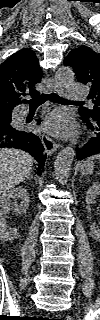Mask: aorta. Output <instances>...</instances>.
<instances>
[{
    "mask_svg": "<svg viewBox=\"0 0 100 320\" xmlns=\"http://www.w3.org/2000/svg\"><path fill=\"white\" fill-rule=\"evenodd\" d=\"M75 73L70 67H60L55 74L57 83L61 86H68L73 83ZM75 156V150L72 147H66L61 150L54 163V174L60 184L64 185L70 177V168Z\"/></svg>",
    "mask_w": 100,
    "mask_h": 320,
    "instance_id": "aorta-1",
    "label": "aorta"
}]
</instances>
